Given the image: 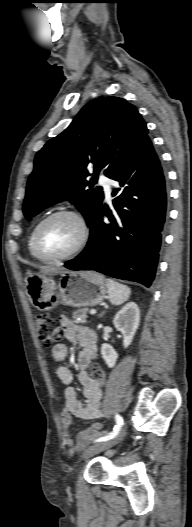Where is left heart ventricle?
I'll list each match as a JSON object with an SVG mask.
<instances>
[{
	"mask_svg": "<svg viewBox=\"0 0 192 527\" xmlns=\"http://www.w3.org/2000/svg\"><path fill=\"white\" fill-rule=\"evenodd\" d=\"M79 237L78 222L69 216H58L42 228L39 235L40 250L50 257L64 255L75 247Z\"/></svg>",
	"mask_w": 192,
	"mask_h": 527,
	"instance_id": "obj_1",
	"label": "left heart ventricle"
}]
</instances>
